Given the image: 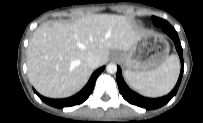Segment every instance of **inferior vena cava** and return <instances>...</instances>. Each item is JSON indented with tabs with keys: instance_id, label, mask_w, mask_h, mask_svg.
<instances>
[{
	"instance_id": "602c4592",
	"label": "inferior vena cava",
	"mask_w": 203,
	"mask_h": 123,
	"mask_svg": "<svg viewBox=\"0 0 203 123\" xmlns=\"http://www.w3.org/2000/svg\"><path fill=\"white\" fill-rule=\"evenodd\" d=\"M86 63L91 68H97L99 65V59L97 56L91 55L86 59Z\"/></svg>"
}]
</instances>
